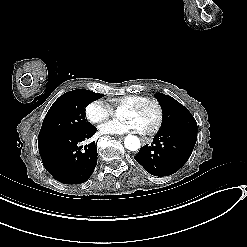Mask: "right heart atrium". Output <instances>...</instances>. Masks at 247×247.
Wrapping results in <instances>:
<instances>
[{"mask_svg": "<svg viewBox=\"0 0 247 247\" xmlns=\"http://www.w3.org/2000/svg\"><path fill=\"white\" fill-rule=\"evenodd\" d=\"M112 106L100 99L89 101L85 108L84 114L87 120L93 124H99L112 115Z\"/></svg>", "mask_w": 247, "mask_h": 247, "instance_id": "right-heart-atrium-1", "label": "right heart atrium"}]
</instances>
